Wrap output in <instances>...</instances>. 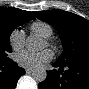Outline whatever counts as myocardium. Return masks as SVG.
Returning <instances> with one entry per match:
<instances>
[{
    "label": "myocardium",
    "mask_w": 89,
    "mask_h": 89,
    "mask_svg": "<svg viewBox=\"0 0 89 89\" xmlns=\"http://www.w3.org/2000/svg\"><path fill=\"white\" fill-rule=\"evenodd\" d=\"M47 45L54 51H58V46L55 44H52L50 42L47 43Z\"/></svg>",
    "instance_id": "obj_1"
}]
</instances>
